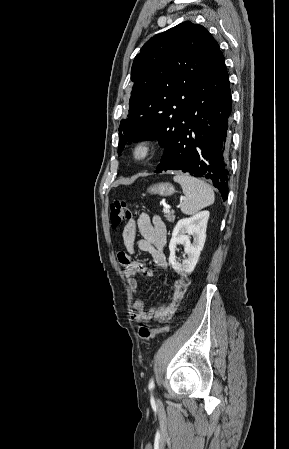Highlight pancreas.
I'll return each instance as SVG.
<instances>
[{
	"label": "pancreas",
	"instance_id": "cf45deb5",
	"mask_svg": "<svg viewBox=\"0 0 289 449\" xmlns=\"http://www.w3.org/2000/svg\"><path fill=\"white\" fill-rule=\"evenodd\" d=\"M166 219H167L169 222H174V219H175L174 212H169V213H167V214H166Z\"/></svg>",
	"mask_w": 289,
	"mask_h": 449
}]
</instances>
